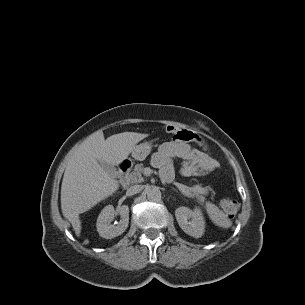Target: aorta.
I'll return each mask as SVG.
<instances>
[{"mask_svg": "<svg viewBox=\"0 0 305 305\" xmlns=\"http://www.w3.org/2000/svg\"><path fill=\"white\" fill-rule=\"evenodd\" d=\"M147 198L149 201L157 202L161 200V192L158 188L154 187L147 191Z\"/></svg>", "mask_w": 305, "mask_h": 305, "instance_id": "aorta-1", "label": "aorta"}]
</instances>
